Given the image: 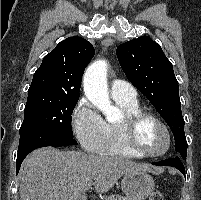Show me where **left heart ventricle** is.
Masks as SVG:
<instances>
[{
	"mask_svg": "<svg viewBox=\"0 0 201 200\" xmlns=\"http://www.w3.org/2000/svg\"><path fill=\"white\" fill-rule=\"evenodd\" d=\"M139 147L149 153H157L164 149L166 137L161 127L151 120L144 121L138 129Z\"/></svg>",
	"mask_w": 201,
	"mask_h": 200,
	"instance_id": "left-heart-ventricle-1",
	"label": "left heart ventricle"
}]
</instances>
